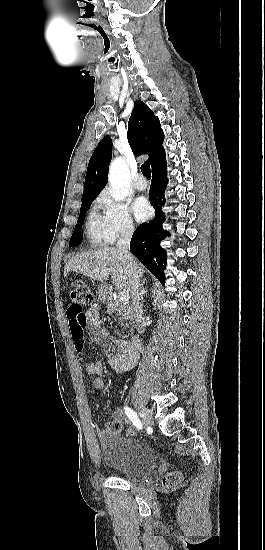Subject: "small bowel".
<instances>
[{
    "label": "small bowel",
    "mask_w": 265,
    "mask_h": 550,
    "mask_svg": "<svg viewBox=\"0 0 265 550\" xmlns=\"http://www.w3.org/2000/svg\"><path fill=\"white\" fill-rule=\"evenodd\" d=\"M86 321L83 326V331L86 330L94 342L102 345L111 344V339L107 331L100 326L99 307L91 306L85 313ZM74 338V337H73ZM75 350L80 353L83 350L84 338L82 336L74 339ZM138 360V353L129 347L128 343L123 340H117L113 343L112 350L108 353V361L114 370L125 372L134 367ZM84 370L90 376V386L93 389H103L105 384L102 379L103 364L98 362H85ZM112 418L119 423L126 422V415L120 408H115L112 412ZM98 437L103 445H107L111 439V435L102 429H97Z\"/></svg>",
    "instance_id": "c3829d8e"
}]
</instances>
